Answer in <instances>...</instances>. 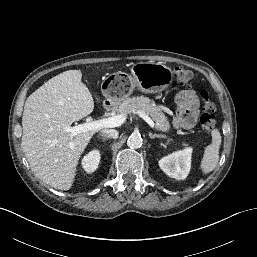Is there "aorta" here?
Here are the masks:
<instances>
[{
    "label": "aorta",
    "instance_id": "1",
    "mask_svg": "<svg viewBox=\"0 0 257 257\" xmlns=\"http://www.w3.org/2000/svg\"><path fill=\"white\" fill-rule=\"evenodd\" d=\"M127 145L131 149H138L142 146V138L139 135L133 134L127 140Z\"/></svg>",
    "mask_w": 257,
    "mask_h": 257
}]
</instances>
